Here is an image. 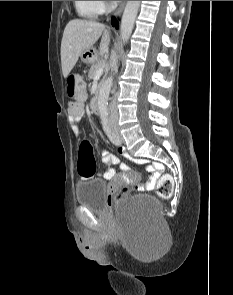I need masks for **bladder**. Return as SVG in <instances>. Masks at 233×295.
I'll return each instance as SVG.
<instances>
[{"label": "bladder", "mask_w": 233, "mask_h": 295, "mask_svg": "<svg viewBox=\"0 0 233 295\" xmlns=\"http://www.w3.org/2000/svg\"><path fill=\"white\" fill-rule=\"evenodd\" d=\"M76 200L79 205L98 213L108 211L106 203L107 186L104 180L99 178H89L80 181L75 189ZM124 212L133 214L147 221H152L159 217V201L149 194H138L123 204Z\"/></svg>", "instance_id": "31cf9c89"}]
</instances>
